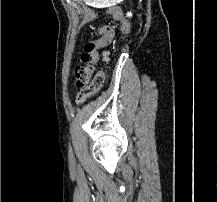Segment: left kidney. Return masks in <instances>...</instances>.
Segmentation results:
<instances>
[{
    "label": "left kidney",
    "mask_w": 217,
    "mask_h": 202,
    "mask_svg": "<svg viewBox=\"0 0 217 202\" xmlns=\"http://www.w3.org/2000/svg\"><path fill=\"white\" fill-rule=\"evenodd\" d=\"M127 16H129V18H130V16H132L131 12H128Z\"/></svg>",
    "instance_id": "5707ae66"
}]
</instances>
